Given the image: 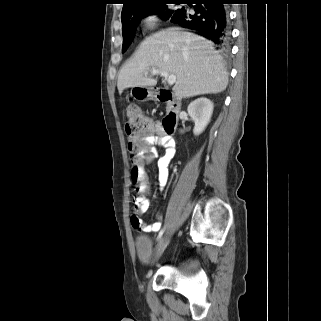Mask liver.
I'll return each mask as SVG.
<instances>
[{
  "label": "liver",
  "mask_w": 321,
  "mask_h": 321,
  "mask_svg": "<svg viewBox=\"0 0 321 321\" xmlns=\"http://www.w3.org/2000/svg\"><path fill=\"white\" fill-rule=\"evenodd\" d=\"M158 69L176 76L175 95L188 98L226 89L228 74L213 43L201 36L168 28L147 37L121 69L119 94L129 87L155 86L148 73Z\"/></svg>",
  "instance_id": "1"
}]
</instances>
